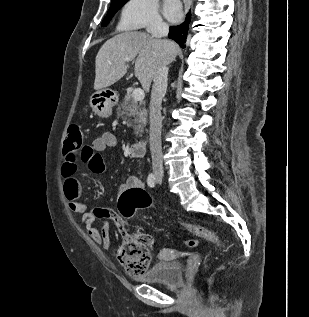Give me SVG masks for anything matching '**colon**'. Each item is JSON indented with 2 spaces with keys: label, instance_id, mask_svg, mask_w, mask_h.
<instances>
[{
  "label": "colon",
  "instance_id": "5ec220e1",
  "mask_svg": "<svg viewBox=\"0 0 309 317\" xmlns=\"http://www.w3.org/2000/svg\"><path fill=\"white\" fill-rule=\"evenodd\" d=\"M65 160L75 161V158L83 156L87 152V146L82 147V129L77 124L68 128V135L65 140ZM152 200L144 189H129L121 194L119 199V210L122 216L129 218L139 209L149 208ZM179 224L198 238L210 241L218 248L223 247L220 236L203 226L179 222ZM188 247H196V239H188L185 242ZM152 237L148 234L137 232H126L123 235V242L116 248L115 255L123 268L131 275L144 273L152 258Z\"/></svg>",
  "mask_w": 309,
  "mask_h": 317
}]
</instances>
